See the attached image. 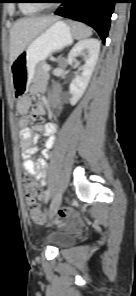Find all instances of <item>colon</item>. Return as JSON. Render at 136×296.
Instances as JSON below:
<instances>
[{
	"label": "colon",
	"mask_w": 136,
	"mask_h": 296,
	"mask_svg": "<svg viewBox=\"0 0 136 296\" xmlns=\"http://www.w3.org/2000/svg\"><path fill=\"white\" fill-rule=\"evenodd\" d=\"M24 195L27 201V207L29 213L34 221L38 223L44 222V216L41 212L39 201L41 200L42 193L38 185L30 180L23 181ZM73 216L72 211L69 208H63L60 211L59 219L66 220Z\"/></svg>",
	"instance_id": "5ec220e1"
}]
</instances>
